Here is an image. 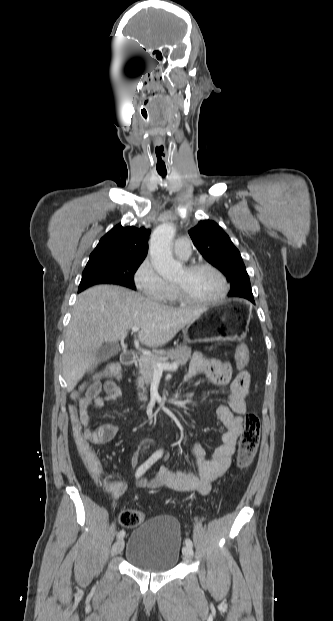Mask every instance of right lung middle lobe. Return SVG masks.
<instances>
[{
	"instance_id": "obj_1",
	"label": "right lung middle lobe",
	"mask_w": 333,
	"mask_h": 621,
	"mask_svg": "<svg viewBox=\"0 0 333 621\" xmlns=\"http://www.w3.org/2000/svg\"><path fill=\"white\" fill-rule=\"evenodd\" d=\"M141 263L125 259L88 261L78 292L96 284H117L136 290L134 274Z\"/></svg>"
}]
</instances>
